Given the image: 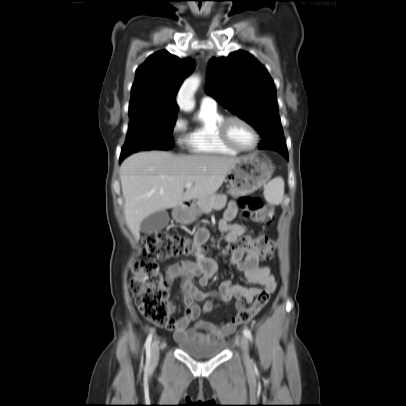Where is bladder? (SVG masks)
<instances>
[{"mask_svg": "<svg viewBox=\"0 0 406 406\" xmlns=\"http://www.w3.org/2000/svg\"><path fill=\"white\" fill-rule=\"evenodd\" d=\"M178 346L185 354L197 358L207 359L219 354L223 348L222 344L193 343L189 341H178Z\"/></svg>", "mask_w": 406, "mask_h": 406, "instance_id": "obj_1", "label": "bladder"}]
</instances>
